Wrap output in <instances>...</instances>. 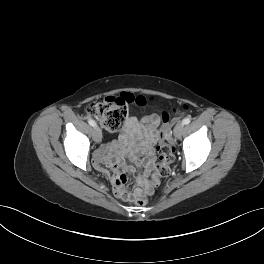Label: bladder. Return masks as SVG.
<instances>
[{
  "instance_id": "31cf9c89",
  "label": "bladder",
  "mask_w": 264,
  "mask_h": 264,
  "mask_svg": "<svg viewBox=\"0 0 264 264\" xmlns=\"http://www.w3.org/2000/svg\"><path fill=\"white\" fill-rule=\"evenodd\" d=\"M159 125H160V122L158 121L157 126H159Z\"/></svg>"
}]
</instances>
